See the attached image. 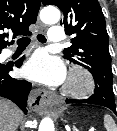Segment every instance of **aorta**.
Instances as JSON below:
<instances>
[{
  "mask_svg": "<svg viewBox=\"0 0 117 131\" xmlns=\"http://www.w3.org/2000/svg\"><path fill=\"white\" fill-rule=\"evenodd\" d=\"M40 19L45 24H55L60 20V11L55 7H45L40 12ZM38 131H54L53 120L49 117L43 118Z\"/></svg>",
  "mask_w": 117,
  "mask_h": 131,
  "instance_id": "aorta-1",
  "label": "aorta"
}]
</instances>
